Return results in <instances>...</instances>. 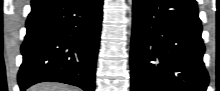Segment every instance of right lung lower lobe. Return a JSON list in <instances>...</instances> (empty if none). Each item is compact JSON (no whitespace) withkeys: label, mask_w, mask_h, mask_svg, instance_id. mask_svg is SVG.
<instances>
[{"label":"right lung lower lobe","mask_w":220,"mask_h":91,"mask_svg":"<svg viewBox=\"0 0 220 91\" xmlns=\"http://www.w3.org/2000/svg\"><path fill=\"white\" fill-rule=\"evenodd\" d=\"M103 0H32L20 91L53 81L94 91Z\"/></svg>","instance_id":"1"}]
</instances>
